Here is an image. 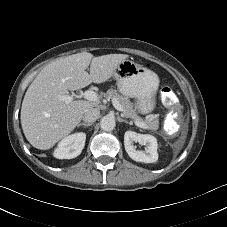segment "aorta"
<instances>
[{
  "instance_id": "aorta-1",
  "label": "aorta",
  "mask_w": 227,
  "mask_h": 227,
  "mask_svg": "<svg viewBox=\"0 0 227 227\" xmlns=\"http://www.w3.org/2000/svg\"><path fill=\"white\" fill-rule=\"evenodd\" d=\"M116 126L115 119L112 116L106 115L100 121V127L104 131H112Z\"/></svg>"
}]
</instances>
